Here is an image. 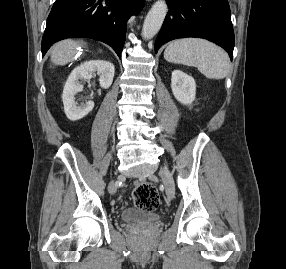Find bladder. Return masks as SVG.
Listing matches in <instances>:
<instances>
[{
	"label": "bladder",
	"instance_id": "obj_1",
	"mask_svg": "<svg viewBox=\"0 0 286 269\" xmlns=\"http://www.w3.org/2000/svg\"><path fill=\"white\" fill-rule=\"evenodd\" d=\"M120 219L126 224H154L160 222L162 217L159 213L130 206L121 211Z\"/></svg>",
	"mask_w": 286,
	"mask_h": 269
}]
</instances>
